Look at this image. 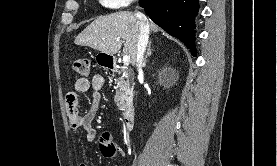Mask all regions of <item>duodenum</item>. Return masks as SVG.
Instances as JSON below:
<instances>
[{
  "mask_svg": "<svg viewBox=\"0 0 277 166\" xmlns=\"http://www.w3.org/2000/svg\"><path fill=\"white\" fill-rule=\"evenodd\" d=\"M107 66L111 70H115L118 68V64L114 60H110L107 62ZM122 114H123V124L127 129H132L134 125V120H135V111L134 108L131 104L127 103L123 106L122 109Z\"/></svg>",
  "mask_w": 277,
  "mask_h": 166,
  "instance_id": "duodenum-1",
  "label": "duodenum"
}]
</instances>
